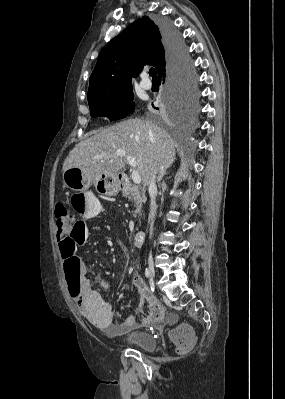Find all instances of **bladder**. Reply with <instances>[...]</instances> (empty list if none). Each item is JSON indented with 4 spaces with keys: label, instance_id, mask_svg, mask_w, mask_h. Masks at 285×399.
<instances>
[{
    "label": "bladder",
    "instance_id": "obj_1",
    "mask_svg": "<svg viewBox=\"0 0 285 399\" xmlns=\"http://www.w3.org/2000/svg\"><path fill=\"white\" fill-rule=\"evenodd\" d=\"M102 331L106 333V329H103ZM123 342L126 345L143 349L145 351H155L157 346L153 334L149 332L133 333L125 338Z\"/></svg>",
    "mask_w": 285,
    "mask_h": 399
}]
</instances>
